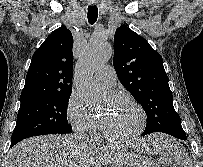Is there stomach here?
Returning <instances> with one entry per match:
<instances>
[{
	"label": "stomach",
	"mask_w": 203,
	"mask_h": 167,
	"mask_svg": "<svg viewBox=\"0 0 203 167\" xmlns=\"http://www.w3.org/2000/svg\"><path fill=\"white\" fill-rule=\"evenodd\" d=\"M148 152V149H145ZM115 167H155L153 162L140 154L126 153L123 158L117 162Z\"/></svg>",
	"instance_id": "stomach-1"
}]
</instances>
